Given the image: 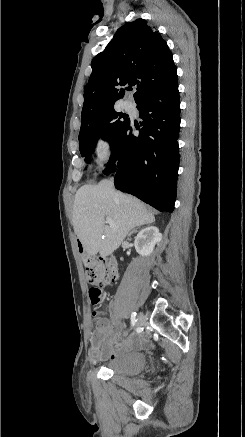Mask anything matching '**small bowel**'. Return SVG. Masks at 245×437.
I'll use <instances>...</instances> for the list:
<instances>
[{
  "label": "small bowel",
  "mask_w": 245,
  "mask_h": 437,
  "mask_svg": "<svg viewBox=\"0 0 245 437\" xmlns=\"http://www.w3.org/2000/svg\"><path fill=\"white\" fill-rule=\"evenodd\" d=\"M122 328L123 326L116 315H113L110 320L99 319L91 336L92 357L97 359L115 358L121 350L139 347L145 343L144 338L135 337L130 342L114 348L111 341L121 333Z\"/></svg>",
  "instance_id": "obj_1"
}]
</instances>
